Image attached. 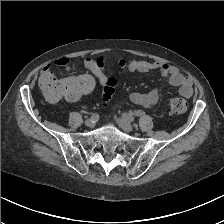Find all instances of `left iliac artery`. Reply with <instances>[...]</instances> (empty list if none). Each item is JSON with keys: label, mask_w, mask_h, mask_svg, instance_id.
Segmentation results:
<instances>
[{"label": "left iliac artery", "mask_w": 224, "mask_h": 224, "mask_svg": "<svg viewBox=\"0 0 224 224\" xmlns=\"http://www.w3.org/2000/svg\"><path fill=\"white\" fill-rule=\"evenodd\" d=\"M122 117L128 121H134V116L130 113H123Z\"/></svg>", "instance_id": "left-iliac-artery-1"}]
</instances>
